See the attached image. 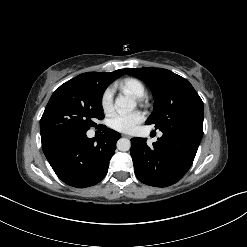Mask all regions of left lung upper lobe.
<instances>
[{
	"mask_svg": "<svg viewBox=\"0 0 247 247\" xmlns=\"http://www.w3.org/2000/svg\"><path fill=\"white\" fill-rule=\"evenodd\" d=\"M128 75L148 84L154 96V111L146 120L160 131L184 127L203 135V102L190 82L162 68H128Z\"/></svg>",
	"mask_w": 247,
	"mask_h": 247,
	"instance_id": "1",
	"label": "left lung upper lobe"
}]
</instances>
